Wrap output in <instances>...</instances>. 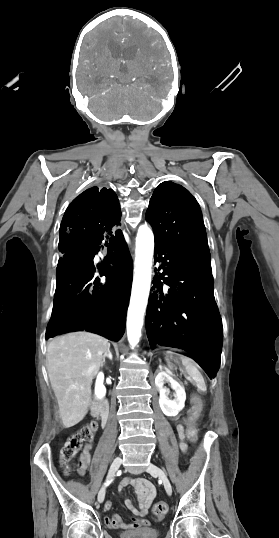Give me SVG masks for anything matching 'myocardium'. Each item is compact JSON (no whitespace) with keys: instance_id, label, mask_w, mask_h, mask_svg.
Here are the masks:
<instances>
[{"instance_id":"myocardium-1","label":"myocardium","mask_w":279,"mask_h":538,"mask_svg":"<svg viewBox=\"0 0 279 538\" xmlns=\"http://www.w3.org/2000/svg\"><path fill=\"white\" fill-rule=\"evenodd\" d=\"M100 237H103V235H102V234H100ZM100 237H99V238H100Z\"/></svg>"}]
</instances>
